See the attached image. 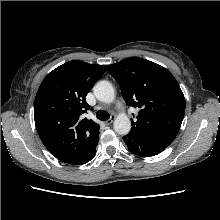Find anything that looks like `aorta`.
Returning <instances> with one entry per match:
<instances>
[{"label":"aorta","mask_w":220,"mask_h":220,"mask_svg":"<svg viewBox=\"0 0 220 220\" xmlns=\"http://www.w3.org/2000/svg\"><path fill=\"white\" fill-rule=\"evenodd\" d=\"M95 97L104 103H112L115 99L113 85L108 81H99L93 89ZM114 130L120 135H126L131 130V121L126 114H119L114 121Z\"/></svg>","instance_id":"1"}]
</instances>
